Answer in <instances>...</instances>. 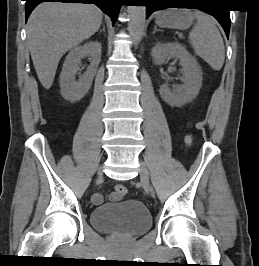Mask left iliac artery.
<instances>
[{
	"label": "left iliac artery",
	"mask_w": 259,
	"mask_h": 266,
	"mask_svg": "<svg viewBox=\"0 0 259 266\" xmlns=\"http://www.w3.org/2000/svg\"><path fill=\"white\" fill-rule=\"evenodd\" d=\"M149 189H151L152 195H154V197H157V194H155V188H152V186H149Z\"/></svg>",
	"instance_id": "left-iliac-artery-1"
}]
</instances>
